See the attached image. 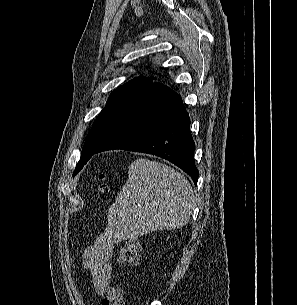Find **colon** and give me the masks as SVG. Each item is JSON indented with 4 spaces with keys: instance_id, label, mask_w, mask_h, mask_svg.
<instances>
[{
    "instance_id": "obj_1",
    "label": "colon",
    "mask_w": 297,
    "mask_h": 305,
    "mask_svg": "<svg viewBox=\"0 0 297 305\" xmlns=\"http://www.w3.org/2000/svg\"><path fill=\"white\" fill-rule=\"evenodd\" d=\"M103 180L104 177H101ZM107 190V187H103ZM142 246L141 243L136 240H128L121 247L118 254V262L125 266H135L141 259ZM101 305H126L123 291L118 287H110L102 301Z\"/></svg>"
}]
</instances>
